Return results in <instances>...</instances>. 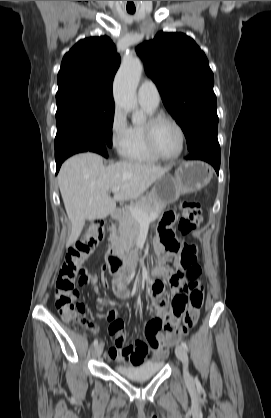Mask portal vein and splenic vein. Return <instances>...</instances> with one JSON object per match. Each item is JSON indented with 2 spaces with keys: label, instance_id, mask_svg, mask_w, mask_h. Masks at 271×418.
Instances as JSON below:
<instances>
[{
  "label": "portal vein and splenic vein",
  "instance_id": "18ae733b",
  "mask_svg": "<svg viewBox=\"0 0 271 418\" xmlns=\"http://www.w3.org/2000/svg\"><path fill=\"white\" fill-rule=\"evenodd\" d=\"M119 190V187H113L111 189L113 193H117ZM126 209L129 210L131 214L135 217V219L140 223H150L152 220H155L157 218V215L155 213L148 215L143 210L134 206H127Z\"/></svg>",
  "mask_w": 271,
  "mask_h": 418
}]
</instances>
